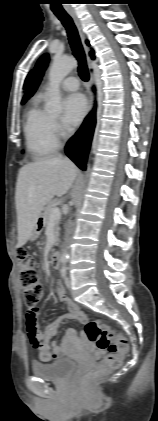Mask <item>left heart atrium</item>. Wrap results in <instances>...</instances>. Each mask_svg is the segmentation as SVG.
I'll return each mask as SVG.
<instances>
[{
  "mask_svg": "<svg viewBox=\"0 0 158 421\" xmlns=\"http://www.w3.org/2000/svg\"><path fill=\"white\" fill-rule=\"evenodd\" d=\"M87 108V101L83 95L75 93L67 96L64 100L63 122L67 126L78 125L83 120Z\"/></svg>",
  "mask_w": 158,
  "mask_h": 421,
  "instance_id": "1",
  "label": "left heart atrium"
}]
</instances>
